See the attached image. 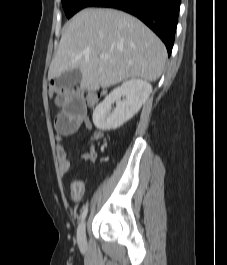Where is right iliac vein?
<instances>
[{
	"mask_svg": "<svg viewBox=\"0 0 227 265\" xmlns=\"http://www.w3.org/2000/svg\"><path fill=\"white\" fill-rule=\"evenodd\" d=\"M77 241L80 247L86 245V232H85V223L82 222L77 230Z\"/></svg>",
	"mask_w": 227,
	"mask_h": 265,
	"instance_id": "63e3f726",
	"label": "right iliac vein"
}]
</instances>
